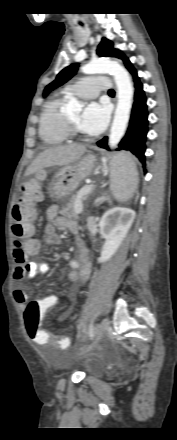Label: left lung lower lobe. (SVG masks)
Wrapping results in <instances>:
<instances>
[{
    "label": "left lung lower lobe",
    "mask_w": 177,
    "mask_h": 440,
    "mask_svg": "<svg viewBox=\"0 0 177 440\" xmlns=\"http://www.w3.org/2000/svg\"><path fill=\"white\" fill-rule=\"evenodd\" d=\"M128 70L132 75L135 87L134 103L126 135L120 141L116 150L119 151L124 149L130 151L139 159L142 165L145 166L144 152L146 149L145 142L148 132L146 96L135 68L131 67ZM97 145L99 147L108 149L107 137H104L102 140L98 141Z\"/></svg>",
    "instance_id": "left-lung-lower-lobe-1"
}]
</instances>
